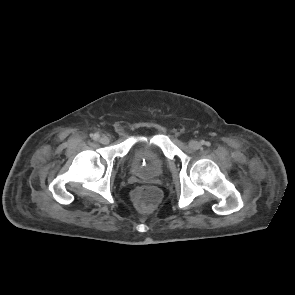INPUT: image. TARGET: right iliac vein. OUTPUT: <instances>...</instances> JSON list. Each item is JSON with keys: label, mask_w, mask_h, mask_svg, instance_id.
Instances as JSON below:
<instances>
[{"label": "right iliac vein", "mask_w": 295, "mask_h": 295, "mask_svg": "<svg viewBox=\"0 0 295 295\" xmlns=\"http://www.w3.org/2000/svg\"><path fill=\"white\" fill-rule=\"evenodd\" d=\"M100 143L102 144H108L110 142V139L107 135H102L99 139Z\"/></svg>", "instance_id": "obj_1"}]
</instances>
